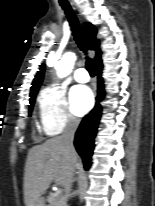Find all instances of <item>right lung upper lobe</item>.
<instances>
[{
  "instance_id": "obj_1",
  "label": "right lung upper lobe",
  "mask_w": 155,
  "mask_h": 206,
  "mask_svg": "<svg viewBox=\"0 0 155 206\" xmlns=\"http://www.w3.org/2000/svg\"><path fill=\"white\" fill-rule=\"evenodd\" d=\"M83 29L87 36L89 49L96 51L95 61H96L97 66H99L100 64H102V61L100 57L101 51L99 49V43H98V40H96L97 30L95 26H93L91 23H88V22H85L83 24ZM44 71H45V66L42 65L33 80L31 91H30V97L37 94L38 89L43 81Z\"/></svg>"
}]
</instances>
